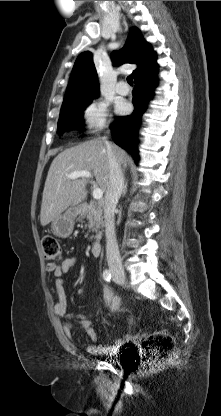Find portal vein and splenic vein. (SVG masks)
<instances>
[{"label": "portal vein and splenic vein", "mask_w": 221, "mask_h": 416, "mask_svg": "<svg viewBox=\"0 0 221 416\" xmlns=\"http://www.w3.org/2000/svg\"><path fill=\"white\" fill-rule=\"evenodd\" d=\"M80 177L89 179V178L92 177V174L89 171L82 170V171L72 172L68 175L69 179H77V178H80ZM92 195H93L94 199L100 200L103 197V191H102V189L96 187V188H94Z\"/></svg>", "instance_id": "obj_1"}]
</instances>
